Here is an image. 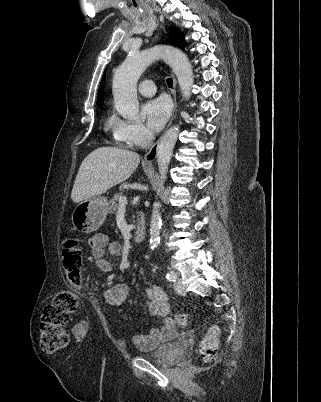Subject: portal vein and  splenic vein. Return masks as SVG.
<instances>
[{
    "instance_id": "portal-vein-and-splenic-vein-1",
    "label": "portal vein and splenic vein",
    "mask_w": 321,
    "mask_h": 402,
    "mask_svg": "<svg viewBox=\"0 0 321 402\" xmlns=\"http://www.w3.org/2000/svg\"><path fill=\"white\" fill-rule=\"evenodd\" d=\"M127 205V198L122 196L119 198V207H125Z\"/></svg>"
}]
</instances>
